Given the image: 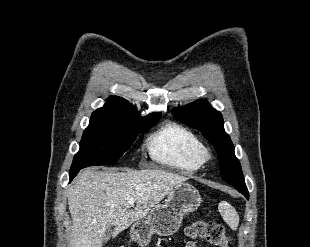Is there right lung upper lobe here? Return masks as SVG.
I'll list each match as a JSON object with an SVG mask.
<instances>
[{"mask_svg": "<svg viewBox=\"0 0 310 247\" xmlns=\"http://www.w3.org/2000/svg\"><path fill=\"white\" fill-rule=\"evenodd\" d=\"M160 114H150L146 117H141L134 106L123 98L112 96L109 97L104 107L97 109L92 113L91 117H110L129 121H146Z\"/></svg>", "mask_w": 310, "mask_h": 247, "instance_id": "cb5924a9", "label": "right lung upper lobe"}]
</instances>
